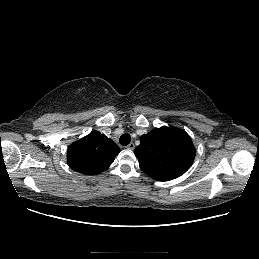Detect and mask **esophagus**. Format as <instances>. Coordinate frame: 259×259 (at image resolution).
Listing matches in <instances>:
<instances>
[{"label": "esophagus", "mask_w": 259, "mask_h": 259, "mask_svg": "<svg viewBox=\"0 0 259 259\" xmlns=\"http://www.w3.org/2000/svg\"><path fill=\"white\" fill-rule=\"evenodd\" d=\"M126 148L127 149H130V150H133L134 148H135V145H134V143H130V144H128L127 146H126Z\"/></svg>", "instance_id": "34e87169"}]
</instances>
